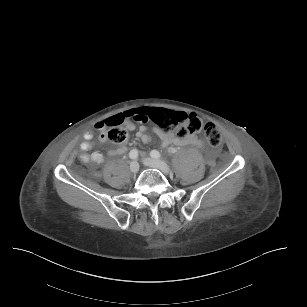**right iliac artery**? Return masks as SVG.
<instances>
[{
	"mask_svg": "<svg viewBox=\"0 0 307 307\" xmlns=\"http://www.w3.org/2000/svg\"><path fill=\"white\" fill-rule=\"evenodd\" d=\"M129 157L131 159H137L138 158V151L136 149L131 150L130 153H129Z\"/></svg>",
	"mask_w": 307,
	"mask_h": 307,
	"instance_id": "right-iliac-artery-1",
	"label": "right iliac artery"
}]
</instances>
